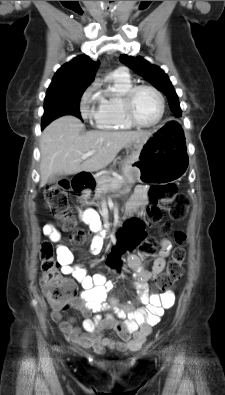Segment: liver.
Segmentation results:
<instances>
[{
    "instance_id": "6515ba94",
    "label": "liver",
    "mask_w": 225,
    "mask_h": 395,
    "mask_svg": "<svg viewBox=\"0 0 225 395\" xmlns=\"http://www.w3.org/2000/svg\"><path fill=\"white\" fill-rule=\"evenodd\" d=\"M84 124L74 116H63L51 122L40 140V187L52 175L95 172L107 167L125 147L144 143L150 131H90L81 134ZM95 151L87 159L82 155Z\"/></svg>"
}]
</instances>
